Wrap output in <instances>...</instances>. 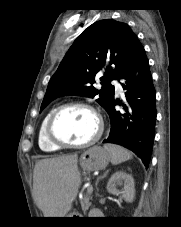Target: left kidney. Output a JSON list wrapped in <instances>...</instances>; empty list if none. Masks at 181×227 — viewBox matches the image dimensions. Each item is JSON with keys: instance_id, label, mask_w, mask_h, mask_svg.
Masks as SVG:
<instances>
[{"instance_id": "obj_1", "label": "left kidney", "mask_w": 181, "mask_h": 227, "mask_svg": "<svg viewBox=\"0 0 181 227\" xmlns=\"http://www.w3.org/2000/svg\"><path fill=\"white\" fill-rule=\"evenodd\" d=\"M117 186H123L121 190ZM107 191L114 195H121L126 202H133L135 197L134 179L125 171L115 172L107 183Z\"/></svg>"}]
</instances>
